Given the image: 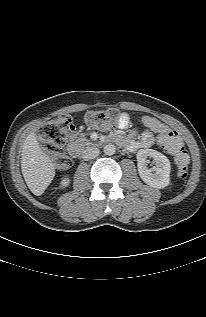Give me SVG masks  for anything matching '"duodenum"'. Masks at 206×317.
<instances>
[{
    "mask_svg": "<svg viewBox=\"0 0 206 317\" xmlns=\"http://www.w3.org/2000/svg\"><path fill=\"white\" fill-rule=\"evenodd\" d=\"M68 151L69 154L74 157V158H78L81 155L82 152V148L79 144L75 143V142H71L68 145Z\"/></svg>",
    "mask_w": 206,
    "mask_h": 317,
    "instance_id": "410a0bca",
    "label": "duodenum"
}]
</instances>
